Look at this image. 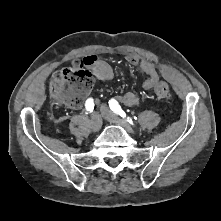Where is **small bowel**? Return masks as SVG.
<instances>
[{
  "instance_id": "small-bowel-1",
  "label": "small bowel",
  "mask_w": 221,
  "mask_h": 221,
  "mask_svg": "<svg viewBox=\"0 0 221 221\" xmlns=\"http://www.w3.org/2000/svg\"><path fill=\"white\" fill-rule=\"evenodd\" d=\"M84 61L91 68L92 73L97 80L104 82L109 81L114 77V72L111 66L107 62L98 59L96 56H86ZM127 62L132 66H139L140 69L146 74L147 78L142 84L144 90H151L159 82V71L154 63L148 60H140L135 55H129L127 57ZM118 98L121 102L128 106H135L140 100L139 96L132 91H129Z\"/></svg>"
}]
</instances>
